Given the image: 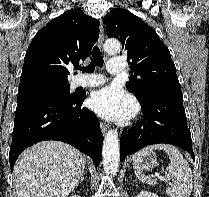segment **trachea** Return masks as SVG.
<instances>
[{"label":"trachea","instance_id":"obj_1","mask_svg":"<svg viewBox=\"0 0 209 197\" xmlns=\"http://www.w3.org/2000/svg\"><path fill=\"white\" fill-rule=\"evenodd\" d=\"M104 60L101 55L100 49L97 46H94L92 50V60L87 67L77 66L76 69L81 70L82 72L91 73L95 70L96 66L100 68L103 67Z\"/></svg>","mask_w":209,"mask_h":197}]
</instances>
